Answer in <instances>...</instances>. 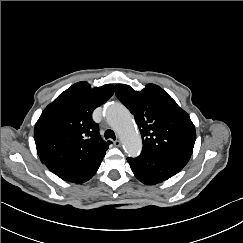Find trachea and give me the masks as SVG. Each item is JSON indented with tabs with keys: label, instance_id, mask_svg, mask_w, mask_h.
Wrapping results in <instances>:
<instances>
[{
	"label": "trachea",
	"instance_id": "3493384b",
	"mask_svg": "<svg viewBox=\"0 0 243 243\" xmlns=\"http://www.w3.org/2000/svg\"><path fill=\"white\" fill-rule=\"evenodd\" d=\"M104 137H105L106 140L109 139V138L110 139H113V140L116 139L115 133L112 130H110V129H108V130L105 131Z\"/></svg>",
	"mask_w": 243,
	"mask_h": 243
}]
</instances>
